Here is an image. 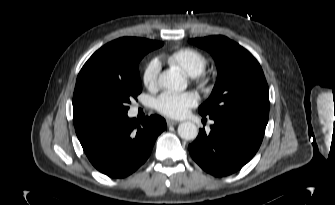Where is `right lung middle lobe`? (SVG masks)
Returning a JSON list of instances; mask_svg holds the SVG:
<instances>
[{
    "label": "right lung middle lobe",
    "instance_id": "dd1d6c3e",
    "mask_svg": "<svg viewBox=\"0 0 335 205\" xmlns=\"http://www.w3.org/2000/svg\"><path fill=\"white\" fill-rule=\"evenodd\" d=\"M162 42L129 45V65L119 74H101L80 83L73 95L74 126H83L126 115L130 99L142 91L139 62Z\"/></svg>",
    "mask_w": 335,
    "mask_h": 205
}]
</instances>
